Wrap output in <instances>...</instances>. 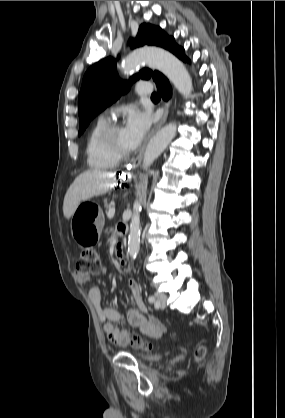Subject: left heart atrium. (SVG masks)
<instances>
[{
	"label": "left heart atrium",
	"mask_w": 285,
	"mask_h": 418,
	"mask_svg": "<svg viewBox=\"0 0 285 418\" xmlns=\"http://www.w3.org/2000/svg\"><path fill=\"white\" fill-rule=\"evenodd\" d=\"M151 126V117L140 109H132L127 114L124 130L128 135L131 147L137 146Z\"/></svg>",
	"instance_id": "39dd6f15"
}]
</instances>
